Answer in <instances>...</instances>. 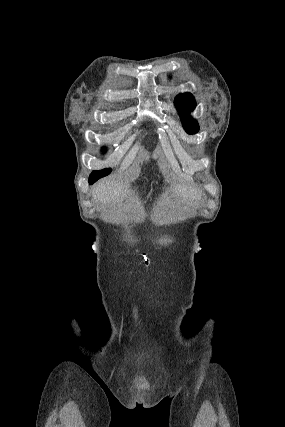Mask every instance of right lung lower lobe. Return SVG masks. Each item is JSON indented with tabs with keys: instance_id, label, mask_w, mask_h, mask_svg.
Listing matches in <instances>:
<instances>
[{
	"instance_id": "98d812e1",
	"label": "right lung lower lobe",
	"mask_w": 285,
	"mask_h": 427,
	"mask_svg": "<svg viewBox=\"0 0 285 427\" xmlns=\"http://www.w3.org/2000/svg\"><path fill=\"white\" fill-rule=\"evenodd\" d=\"M99 179V177H90L89 178V184H93L95 181H97Z\"/></svg>"
}]
</instances>
